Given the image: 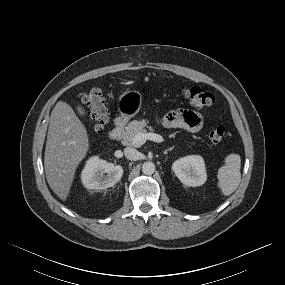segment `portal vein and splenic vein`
<instances>
[{
  "label": "portal vein and splenic vein",
  "instance_id": "obj_1",
  "mask_svg": "<svg viewBox=\"0 0 285 285\" xmlns=\"http://www.w3.org/2000/svg\"><path fill=\"white\" fill-rule=\"evenodd\" d=\"M147 140H151L154 142H164V138L156 133H138L133 138V144L137 147L143 145Z\"/></svg>",
  "mask_w": 285,
  "mask_h": 285
}]
</instances>
